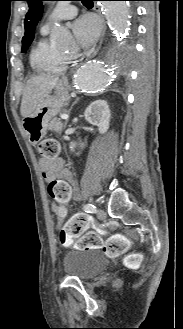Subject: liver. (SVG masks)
Returning <instances> with one entry per match:
<instances>
[{
  "instance_id": "obj_1",
  "label": "liver",
  "mask_w": 183,
  "mask_h": 329,
  "mask_svg": "<svg viewBox=\"0 0 183 329\" xmlns=\"http://www.w3.org/2000/svg\"><path fill=\"white\" fill-rule=\"evenodd\" d=\"M58 78L38 75L28 79L23 91L20 112L23 118L29 116L36 107L50 94Z\"/></svg>"
}]
</instances>
